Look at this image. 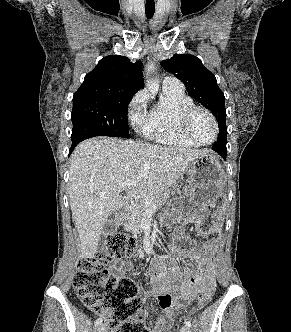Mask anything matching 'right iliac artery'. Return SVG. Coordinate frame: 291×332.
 <instances>
[{"label": "right iliac artery", "instance_id": "right-iliac-artery-1", "mask_svg": "<svg viewBox=\"0 0 291 332\" xmlns=\"http://www.w3.org/2000/svg\"><path fill=\"white\" fill-rule=\"evenodd\" d=\"M103 319L100 317L96 320V325H100L102 323Z\"/></svg>", "mask_w": 291, "mask_h": 332}]
</instances>
